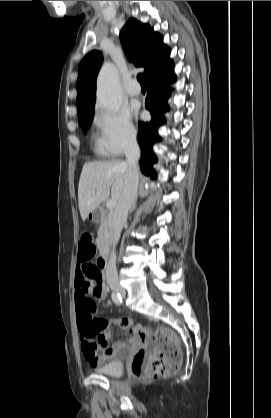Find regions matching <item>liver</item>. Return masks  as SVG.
<instances>
[{
	"label": "liver",
	"mask_w": 271,
	"mask_h": 418,
	"mask_svg": "<svg viewBox=\"0 0 271 418\" xmlns=\"http://www.w3.org/2000/svg\"><path fill=\"white\" fill-rule=\"evenodd\" d=\"M127 165L120 160L87 162L84 164L78 186V203L83 221L102 202L111 199L118 202L121 197Z\"/></svg>",
	"instance_id": "1"
}]
</instances>
